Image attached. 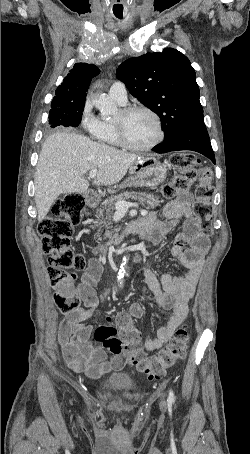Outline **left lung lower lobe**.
Here are the masks:
<instances>
[{
    "label": "left lung lower lobe",
    "mask_w": 250,
    "mask_h": 454,
    "mask_svg": "<svg viewBox=\"0 0 250 454\" xmlns=\"http://www.w3.org/2000/svg\"><path fill=\"white\" fill-rule=\"evenodd\" d=\"M178 150H192L203 154L215 163L214 152L205 124L195 125L183 131L176 138L156 145L153 151L167 153Z\"/></svg>",
    "instance_id": "0a47b994"
}]
</instances>
